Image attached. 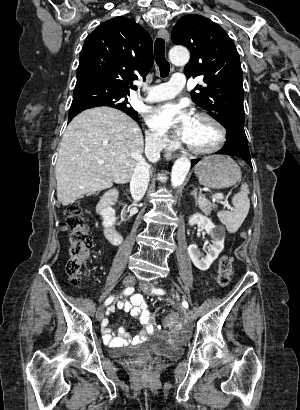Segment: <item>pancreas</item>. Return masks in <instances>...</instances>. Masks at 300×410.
<instances>
[{
	"mask_svg": "<svg viewBox=\"0 0 300 410\" xmlns=\"http://www.w3.org/2000/svg\"><path fill=\"white\" fill-rule=\"evenodd\" d=\"M200 209L206 214L210 215L211 209H212V204L205 198H199L198 201Z\"/></svg>",
	"mask_w": 300,
	"mask_h": 410,
	"instance_id": "cf45deb5",
	"label": "pancreas"
}]
</instances>
